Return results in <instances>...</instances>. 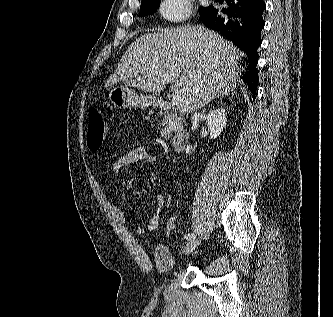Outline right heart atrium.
Masks as SVG:
<instances>
[{"instance_id":"right-heart-atrium-1","label":"right heart atrium","mask_w":333,"mask_h":317,"mask_svg":"<svg viewBox=\"0 0 333 317\" xmlns=\"http://www.w3.org/2000/svg\"><path fill=\"white\" fill-rule=\"evenodd\" d=\"M157 10L163 20L178 24L191 16L193 4L192 0H159Z\"/></svg>"}]
</instances>
